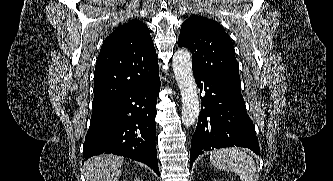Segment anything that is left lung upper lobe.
<instances>
[{"instance_id": "5c2ea615", "label": "left lung upper lobe", "mask_w": 333, "mask_h": 181, "mask_svg": "<svg viewBox=\"0 0 333 181\" xmlns=\"http://www.w3.org/2000/svg\"><path fill=\"white\" fill-rule=\"evenodd\" d=\"M178 46L190 49L193 71L222 81L242 95L235 50L219 23L203 16H191L181 26Z\"/></svg>"}]
</instances>
